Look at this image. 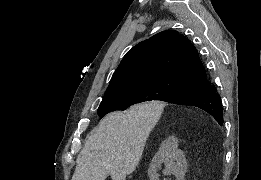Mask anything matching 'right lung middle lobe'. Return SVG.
<instances>
[{
  "label": "right lung middle lobe",
  "mask_w": 261,
  "mask_h": 180,
  "mask_svg": "<svg viewBox=\"0 0 261 180\" xmlns=\"http://www.w3.org/2000/svg\"><path fill=\"white\" fill-rule=\"evenodd\" d=\"M200 83L185 80H159L126 86L105 93L97 110L102 118L115 110H126L129 106L151 100H169L200 89Z\"/></svg>",
  "instance_id": "right-lung-middle-lobe-1"
}]
</instances>
